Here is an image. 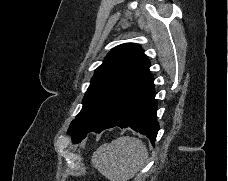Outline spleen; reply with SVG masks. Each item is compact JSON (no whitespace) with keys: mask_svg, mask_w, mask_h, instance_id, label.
<instances>
[{"mask_svg":"<svg viewBox=\"0 0 228 181\" xmlns=\"http://www.w3.org/2000/svg\"><path fill=\"white\" fill-rule=\"evenodd\" d=\"M148 159L146 145L135 137H119L101 145L91 159L92 165L109 181H129Z\"/></svg>","mask_w":228,"mask_h":181,"instance_id":"spleen-1","label":"spleen"}]
</instances>
